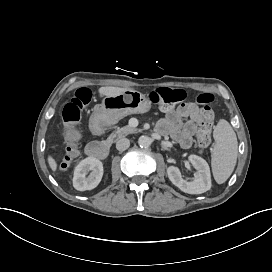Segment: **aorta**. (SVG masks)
<instances>
[{
  "label": "aorta",
  "instance_id": "obj_1",
  "mask_svg": "<svg viewBox=\"0 0 272 272\" xmlns=\"http://www.w3.org/2000/svg\"><path fill=\"white\" fill-rule=\"evenodd\" d=\"M138 143L141 147H149L151 144V140L148 136H140L138 139Z\"/></svg>",
  "mask_w": 272,
  "mask_h": 272
}]
</instances>
